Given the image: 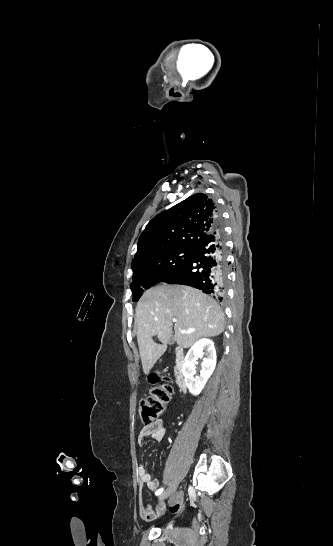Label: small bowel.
<instances>
[{"label": "small bowel", "instance_id": "obj_1", "mask_svg": "<svg viewBox=\"0 0 333 546\" xmlns=\"http://www.w3.org/2000/svg\"><path fill=\"white\" fill-rule=\"evenodd\" d=\"M166 434V429L162 420H157L154 423L143 427L137 437L139 446H143L145 440L151 439L153 441L160 442L164 439ZM137 475L139 480V485L141 487L146 486L150 490H155L158 488L159 483L156 479H153L151 474L146 470L143 465L137 467ZM183 505V498L181 494L173 495L169 502L159 504L157 506L156 512L152 511L148 505H146L141 499H139V514L140 517L145 521H154L158 517L164 515L167 509L172 513H177L181 510Z\"/></svg>", "mask_w": 333, "mask_h": 546}]
</instances>
